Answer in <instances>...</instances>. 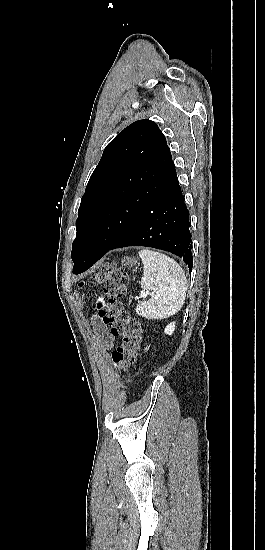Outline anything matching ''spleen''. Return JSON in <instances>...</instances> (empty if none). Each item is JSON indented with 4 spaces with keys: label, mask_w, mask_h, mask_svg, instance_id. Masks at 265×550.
I'll return each mask as SVG.
<instances>
[{
    "label": "spleen",
    "mask_w": 265,
    "mask_h": 550,
    "mask_svg": "<svg viewBox=\"0 0 265 550\" xmlns=\"http://www.w3.org/2000/svg\"><path fill=\"white\" fill-rule=\"evenodd\" d=\"M144 265L141 288L152 291L148 301L139 302L136 313L148 319H164L183 306L187 280L184 270L169 256L150 249L139 251Z\"/></svg>",
    "instance_id": "3e777b00"
}]
</instances>
